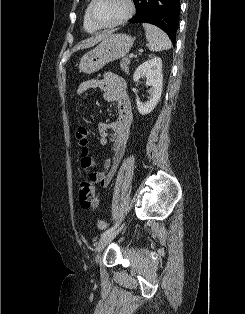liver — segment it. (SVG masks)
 I'll return each mask as SVG.
<instances>
[{"instance_id": "1", "label": "liver", "mask_w": 245, "mask_h": 314, "mask_svg": "<svg viewBox=\"0 0 245 314\" xmlns=\"http://www.w3.org/2000/svg\"><path fill=\"white\" fill-rule=\"evenodd\" d=\"M111 34H112L111 31L103 32L100 35H97L96 37L89 38V39L85 40L83 43L78 44L77 46H75L73 48V52H76V51H78L80 49L90 48V47L96 45L98 42L102 41L103 39H105L106 37H108Z\"/></svg>"}]
</instances>
